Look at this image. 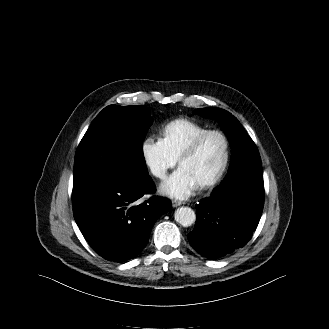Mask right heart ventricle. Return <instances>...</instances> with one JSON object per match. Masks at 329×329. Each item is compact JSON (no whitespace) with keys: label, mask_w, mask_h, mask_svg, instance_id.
<instances>
[{"label":"right heart ventricle","mask_w":329,"mask_h":329,"mask_svg":"<svg viewBox=\"0 0 329 329\" xmlns=\"http://www.w3.org/2000/svg\"><path fill=\"white\" fill-rule=\"evenodd\" d=\"M207 128L188 119H175L167 123L160 131L161 140L178 159L187 145Z\"/></svg>","instance_id":"obj_1"}]
</instances>
